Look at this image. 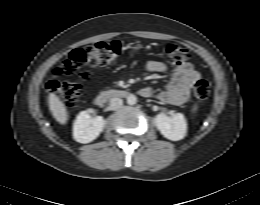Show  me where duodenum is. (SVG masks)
<instances>
[{
  "label": "duodenum",
  "instance_id": "410a0bca",
  "mask_svg": "<svg viewBox=\"0 0 260 205\" xmlns=\"http://www.w3.org/2000/svg\"><path fill=\"white\" fill-rule=\"evenodd\" d=\"M127 96H128V92L125 91V90L110 89V90H106V91H103L100 94H98L95 97V102L98 105H102L109 99H112V98H123V97H127Z\"/></svg>",
  "mask_w": 260,
  "mask_h": 205
}]
</instances>
